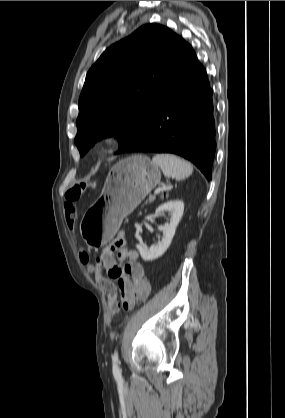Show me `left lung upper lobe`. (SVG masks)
Listing matches in <instances>:
<instances>
[{"mask_svg":"<svg viewBox=\"0 0 285 418\" xmlns=\"http://www.w3.org/2000/svg\"><path fill=\"white\" fill-rule=\"evenodd\" d=\"M184 43L169 28L151 23L103 52L79 98L75 144L81 156L103 137L118 138V153L138 139Z\"/></svg>","mask_w":285,"mask_h":418,"instance_id":"5c2ea615","label":"left lung upper lobe"}]
</instances>
